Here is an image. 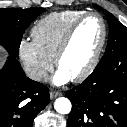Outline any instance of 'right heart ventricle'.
Listing matches in <instances>:
<instances>
[{"label":"right heart ventricle","mask_w":127,"mask_h":127,"mask_svg":"<svg viewBox=\"0 0 127 127\" xmlns=\"http://www.w3.org/2000/svg\"><path fill=\"white\" fill-rule=\"evenodd\" d=\"M84 13L82 10H65L44 16L31 30L33 41L45 55L53 59L69 27Z\"/></svg>","instance_id":"1"}]
</instances>
